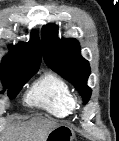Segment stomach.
Masks as SVG:
<instances>
[{
  "label": "stomach",
  "mask_w": 119,
  "mask_h": 141,
  "mask_svg": "<svg viewBox=\"0 0 119 141\" xmlns=\"http://www.w3.org/2000/svg\"><path fill=\"white\" fill-rule=\"evenodd\" d=\"M74 131L67 125H59L47 136L46 141H74Z\"/></svg>",
  "instance_id": "obj_1"
}]
</instances>
